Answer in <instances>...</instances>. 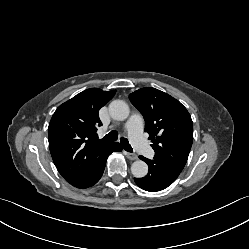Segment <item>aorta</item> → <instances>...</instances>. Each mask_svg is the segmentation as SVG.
<instances>
[{"label":"aorta","mask_w":249,"mask_h":249,"mask_svg":"<svg viewBox=\"0 0 249 249\" xmlns=\"http://www.w3.org/2000/svg\"><path fill=\"white\" fill-rule=\"evenodd\" d=\"M109 113L113 119L123 121L129 116V107L122 100H114L109 105ZM131 172L134 177L143 178L148 173V165L142 160H137L132 163Z\"/></svg>","instance_id":"762f6f07"}]
</instances>
